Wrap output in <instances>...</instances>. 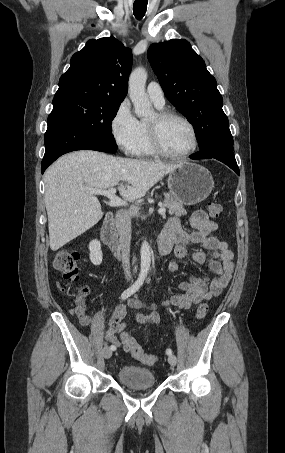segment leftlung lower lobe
<instances>
[{
	"mask_svg": "<svg viewBox=\"0 0 285 453\" xmlns=\"http://www.w3.org/2000/svg\"><path fill=\"white\" fill-rule=\"evenodd\" d=\"M191 159H211L215 158L233 169L237 175L240 174L239 168L233 153V146L227 144H217L200 150L190 156Z\"/></svg>",
	"mask_w": 285,
	"mask_h": 453,
	"instance_id": "1",
	"label": "left lung lower lobe"
}]
</instances>
